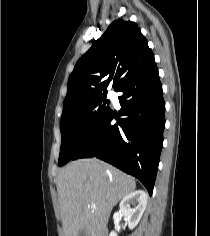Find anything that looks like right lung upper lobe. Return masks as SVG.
<instances>
[{
  "label": "right lung upper lobe",
  "instance_id": "obj_1",
  "mask_svg": "<svg viewBox=\"0 0 210 236\" xmlns=\"http://www.w3.org/2000/svg\"><path fill=\"white\" fill-rule=\"evenodd\" d=\"M154 64V55L137 24L114 21L76 63L68 79L63 113L86 100L106 94L110 80V77L105 79L107 75L115 74L113 88L116 90L126 80Z\"/></svg>",
  "mask_w": 210,
  "mask_h": 236
}]
</instances>
